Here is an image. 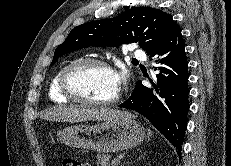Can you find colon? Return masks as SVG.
Listing matches in <instances>:
<instances>
[{
	"instance_id": "1",
	"label": "colon",
	"mask_w": 231,
	"mask_h": 166,
	"mask_svg": "<svg viewBox=\"0 0 231 166\" xmlns=\"http://www.w3.org/2000/svg\"><path fill=\"white\" fill-rule=\"evenodd\" d=\"M61 166H84V164L71 159H63L61 161Z\"/></svg>"
}]
</instances>
